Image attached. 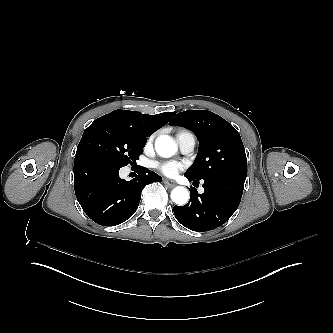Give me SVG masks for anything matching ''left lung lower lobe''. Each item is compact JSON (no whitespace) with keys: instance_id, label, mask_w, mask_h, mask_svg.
Here are the masks:
<instances>
[{"instance_id":"1","label":"left lung lower lobe","mask_w":333,"mask_h":333,"mask_svg":"<svg viewBox=\"0 0 333 333\" xmlns=\"http://www.w3.org/2000/svg\"><path fill=\"white\" fill-rule=\"evenodd\" d=\"M189 181L198 182L189 176ZM246 177L227 174L210 182H204V193L199 194L193 187L191 197L185 206H174L176 219L192 231L204 232L225 223L238 208Z\"/></svg>"}]
</instances>
